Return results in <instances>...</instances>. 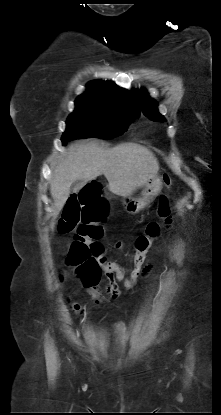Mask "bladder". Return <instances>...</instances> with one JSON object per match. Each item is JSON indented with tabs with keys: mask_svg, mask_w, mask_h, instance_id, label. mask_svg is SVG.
<instances>
[{
	"mask_svg": "<svg viewBox=\"0 0 221 415\" xmlns=\"http://www.w3.org/2000/svg\"><path fill=\"white\" fill-rule=\"evenodd\" d=\"M114 332L117 338V342L119 346L123 345L124 335H125V327L123 324H117L114 328Z\"/></svg>",
	"mask_w": 221,
	"mask_h": 415,
	"instance_id": "31cf9c89",
	"label": "bladder"
}]
</instances>
